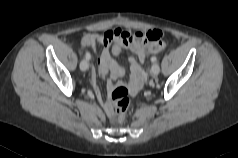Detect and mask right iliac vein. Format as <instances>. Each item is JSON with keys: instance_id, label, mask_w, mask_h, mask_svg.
Segmentation results:
<instances>
[{"instance_id": "1", "label": "right iliac vein", "mask_w": 238, "mask_h": 158, "mask_svg": "<svg viewBox=\"0 0 238 158\" xmlns=\"http://www.w3.org/2000/svg\"><path fill=\"white\" fill-rule=\"evenodd\" d=\"M89 68V63H88V60L87 59H83L81 62H80V69L82 71H86L88 70Z\"/></svg>"}]
</instances>
